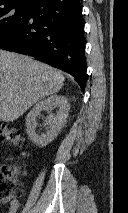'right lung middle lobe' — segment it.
Returning <instances> with one entry per match:
<instances>
[{
	"mask_svg": "<svg viewBox=\"0 0 128 213\" xmlns=\"http://www.w3.org/2000/svg\"><path fill=\"white\" fill-rule=\"evenodd\" d=\"M30 6H0V41L20 27L28 16Z\"/></svg>",
	"mask_w": 128,
	"mask_h": 213,
	"instance_id": "1",
	"label": "right lung middle lobe"
}]
</instances>
